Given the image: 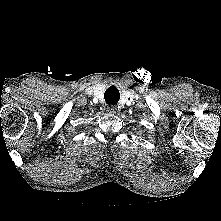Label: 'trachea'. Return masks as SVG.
Here are the masks:
<instances>
[{"instance_id": "obj_1", "label": "trachea", "mask_w": 221, "mask_h": 221, "mask_svg": "<svg viewBox=\"0 0 221 221\" xmlns=\"http://www.w3.org/2000/svg\"><path fill=\"white\" fill-rule=\"evenodd\" d=\"M104 98L106 103L115 105L120 99L118 89L115 86H111L105 91Z\"/></svg>"}]
</instances>
